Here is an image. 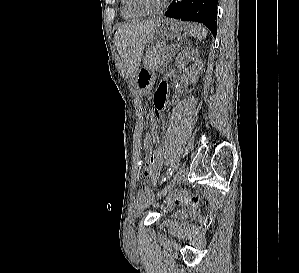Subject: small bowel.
Here are the masks:
<instances>
[{
  "label": "small bowel",
  "instance_id": "c3829d8e",
  "mask_svg": "<svg viewBox=\"0 0 299 273\" xmlns=\"http://www.w3.org/2000/svg\"><path fill=\"white\" fill-rule=\"evenodd\" d=\"M168 103V87L166 84H161L155 93L154 104L157 112L165 110ZM146 153L144 157L143 174L149 180V182L156 186L159 183V164L156 160L154 151V144L144 146ZM152 194L149 192H139L136 197V205L138 208L144 206L148 201L152 199ZM171 208V207H169Z\"/></svg>",
  "mask_w": 299,
  "mask_h": 273
}]
</instances>
